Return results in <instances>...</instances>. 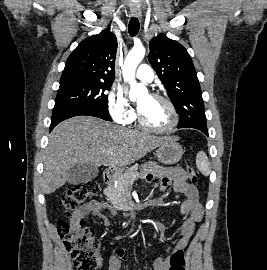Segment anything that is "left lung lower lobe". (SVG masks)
<instances>
[{"instance_id": "left-lung-lower-lobe-1", "label": "left lung lower lobe", "mask_w": 267, "mask_h": 270, "mask_svg": "<svg viewBox=\"0 0 267 270\" xmlns=\"http://www.w3.org/2000/svg\"><path fill=\"white\" fill-rule=\"evenodd\" d=\"M189 128H195V129H198V130L202 131L203 133H205V134L208 136V130H207V127L194 125V126H190Z\"/></svg>"}]
</instances>
